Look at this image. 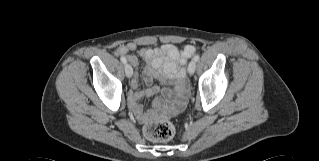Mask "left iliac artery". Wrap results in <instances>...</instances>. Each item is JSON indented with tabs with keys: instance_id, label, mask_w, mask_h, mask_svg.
<instances>
[{
	"instance_id": "44dca946",
	"label": "left iliac artery",
	"mask_w": 319,
	"mask_h": 161,
	"mask_svg": "<svg viewBox=\"0 0 319 161\" xmlns=\"http://www.w3.org/2000/svg\"><path fill=\"white\" fill-rule=\"evenodd\" d=\"M199 60V55L194 56V61L197 62Z\"/></svg>"
}]
</instances>
